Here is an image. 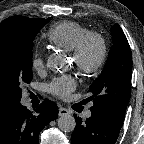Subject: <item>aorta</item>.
<instances>
[{
	"instance_id": "obj_1",
	"label": "aorta",
	"mask_w": 144,
	"mask_h": 144,
	"mask_svg": "<svg viewBox=\"0 0 144 144\" xmlns=\"http://www.w3.org/2000/svg\"><path fill=\"white\" fill-rule=\"evenodd\" d=\"M47 67L56 72L65 68L64 59L60 55L52 54L48 57ZM75 118L70 114H63L58 119V127L63 132H72L75 129Z\"/></svg>"
}]
</instances>
